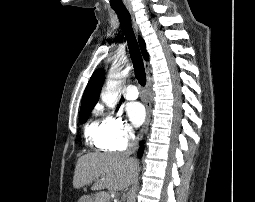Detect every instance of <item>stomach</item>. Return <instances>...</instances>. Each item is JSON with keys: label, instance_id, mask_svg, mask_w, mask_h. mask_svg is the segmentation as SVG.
<instances>
[{"label": "stomach", "instance_id": "stomach-1", "mask_svg": "<svg viewBox=\"0 0 255 202\" xmlns=\"http://www.w3.org/2000/svg\"><path fill=\"white\" fill-rule=\"evenodd\" d=\"M78 202H93V200L90 197H81Z\"/></svg>", "mask_w": 255, "mask_h": 202}]
</instances>
